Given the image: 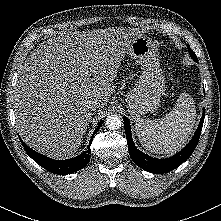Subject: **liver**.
Returning <instances> with one entry per match:
<instances>
[{"instance_id":"1","label":"liver","mask_w":221,"mask_h":221,"mask_svg":"<svg viewBox=\"0 0 221 221\" xmlns=\"http://www.w3.org/2000/svg\"><path fill=\"white\" fill-rule=\"evenodd\" d=\"M139 34L126 27L75 31L37 46L15 87L16 128L24 142L54 159L72 156L91 119L87 102H108L121 61ZM88 69L92 78L82 76Z\"/></svg>"}]
</instances>
